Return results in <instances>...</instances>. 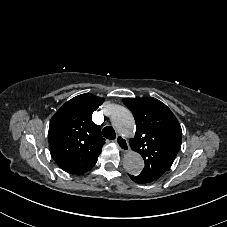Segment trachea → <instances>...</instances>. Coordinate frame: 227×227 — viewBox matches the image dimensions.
<instances>
[{"mask_svg": "<svg viewBox=\"0 0 227 227\" xmlns=\"http://www.w3.org/2000/svg\"><path fill=\"white\" fill-rule=\"evenodd\" d=\"M102 135L109 140H113L116 137V133L111 126L104 127L102 130Z\"/></svg>", "mask_w": 227, "mask_h": 227, "instance_id": "1", "label": "trachea"}]
</instances>
